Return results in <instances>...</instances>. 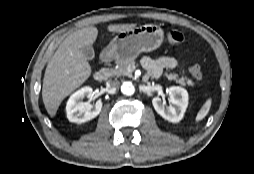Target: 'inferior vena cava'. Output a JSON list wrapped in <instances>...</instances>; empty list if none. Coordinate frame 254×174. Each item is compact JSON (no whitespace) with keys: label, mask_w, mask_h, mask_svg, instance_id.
I'll use <instances>...</instances> for the list:
<instances>
[{"label":"inferior vena cava","mask_w":254,"mask_h":174,"mask_svg":"<svg viewBox=\"0 0 254 174\" xmlns=\"http://www.w3.org/2000/svg\"><path fill=\"white\" fill-rule=\"evenodd\" d=\"M120 85V82L117 80H112L108 83L110 89L116 90Z\"/></svg>","instance_id":"obj_1"}]
</instances>
